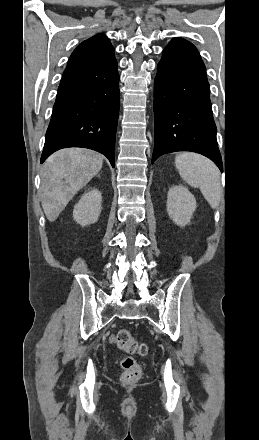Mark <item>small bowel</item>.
<instances>
[{"label": "small bowel", "instance_id": "c3829d8e", "mask_svg": "<svg viewBox=\"0 0 259 440\" xmlns=\"http://www.w3.org/2000/svg\"><path fill=\"white\" fill-rule=\"evenodd\" d=\"M110 341H111V342H114V341H115V337H114V336H111V337H110Z\"/></svg>", "mask_w": 259, "mask_h": 440}]
</instances>
